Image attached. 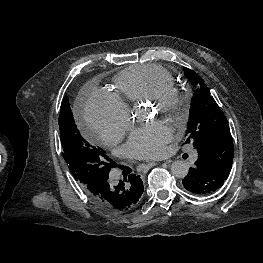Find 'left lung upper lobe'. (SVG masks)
I'll use <instances>...</instances> for the list:
<instances>
[{"label":"left lung upper lobe","instance_id":"1","mask_svg":"<svg viewBox=\"0 0 263 263\" xmlns=\"http://www.w3.org/2000/svg\"><path fill=\"white\" fill-rule=\"evenodd\" d=\"M184 74L196 86L191 101L185 143L191 140L197 149L219 135L231 134L224 113L211 96L204 81L188 68H185Z\"/></svg>","mask_w":263,"mask_h":263}]
</instances>
